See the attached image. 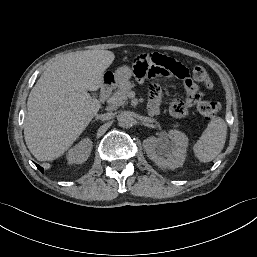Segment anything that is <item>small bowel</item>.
Here are the masks:
<instances>
[{"mask_svg": "<svg viewBox=\"0 0 257 257\" xmlns=\"http://www.w3.org/2000/svg\"><path fill=\"white\" fill-rule=\"evenodd\" d=\"M132 79L138 85H144L152 79L165 76L169 80H183L181 89L186 96L182 100L170 102V113L176 118L186 117L190 109L199 99L195 81L197 73L194 69L181 64L168 55L146 53L138 56L133 62ZM161 101L160 91L152 87L149 91L148 112L156 115Z\"/></svg>", "mask_w": 257, "mask_h": 257, "instance_id": "small-bowel-1", "label": "small bowel"}]
</instances>
